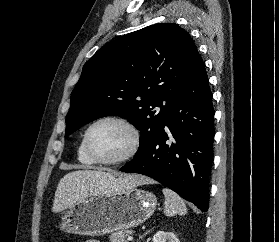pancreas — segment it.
Returning a JSON list of instances; mask_svg holds the SVG:
<instances>
[{
  "label": "pancreas",
  "instance_id": "obj_1",
  "mask_svg": "<svg viewBox=\"0 0 279 242\" xmlns=\"http://www.w3.org/2000/svg\"><path fill=\"white\" fill-rule=\"evenodd\" d=\"M131 234V231H117L109 236L111 242H127L126 237Z\"/></svg>",
  "mask_w": 279,
  "mask_h": 242
}]
</instances>
